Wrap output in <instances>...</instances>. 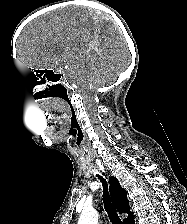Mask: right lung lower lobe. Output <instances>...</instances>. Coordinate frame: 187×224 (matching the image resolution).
Masks as SVG:
<instances>
[{"instance_id": "obj_1", "label": "right lung lower lobe", "mask_w": 187, "mask_h": 224, "mask_svg": "<svg viewBox=\"0 0 187 224\" xmlns=\"http://www.w3.org/2000/svg\"><path fill=\"white\" fill-rule=\"evenodd\" d=\"M128 224H135L134 217L128 222Z\"/></svg>"}]
</instances>
